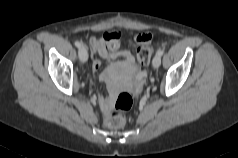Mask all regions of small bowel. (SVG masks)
<instances>
[{
    "label": "small bowel",
    "instance_id": "obj_1",
    "mask_svg": "<svg viewBox=\"0 0 238 158\" xmlns=\"http://www.w3.org/2000/svg\"><path fill=\"white\" fill-rule=\"evenodd\" d=\"M120 37L121 34L119 32H107L101 37H92L89 41L92 53L107 61L111 68L119 66L129 73H136L137 79L140 80L143 77V73L137 72L135 59L132 53L126 50H120ZM143 37H146V39H143ZM150 40V34H140L136 37V41L139 43H149ZM116 60H120L119 65L115 63ZM101 65L102 63L99 59H94L92 64L93 70L95 72L99 71ZM101 78L105 81H109V71H103L101 73ZM99 102L102 110L108 113L112 106L111 99L100 98Z\"/></svg>",
    "mask_w": 238,
    "mask_h": 158
}]
</instances>
